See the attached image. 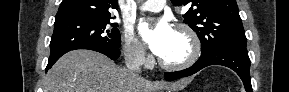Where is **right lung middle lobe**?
<instances>
[{"label":"right lung middle lobe","mask_w":289,"mask_h":92,"mask_svg":"<svg viewBox=\"0 0 289 92\" xmlns=\"http://www.w3.org/2000/svg\"><path fill=\"white\" fill-rule=\"evenodd\" d=\"M117 27L109 18L76 17L56 20L50 42V58L90 45L120 48L121 38Z\"/></svg>","instance_id":"dd1d6c3e"}]
</instances>
